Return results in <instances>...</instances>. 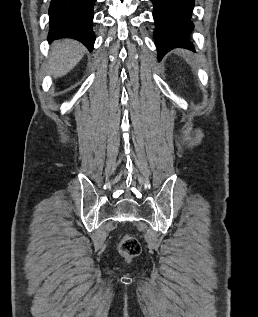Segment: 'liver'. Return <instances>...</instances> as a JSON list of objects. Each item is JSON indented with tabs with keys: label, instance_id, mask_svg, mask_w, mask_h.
<instances>
[{
	"label": "liver",
	"instance_id": "liver-1",
	"mask_svg": "<svg viewBox=\"0 0 258 317\" xmlns=\"http://www.w3.org/2000/svg\"><path fill=\"white\" fill-rule=\"evenodd\" d=\"M85 50V46L78 40H71V38L55 40L50 52L48 72H51L55 78L64 76L81 60Z\"/></svg>",
	"mask_w": 258,
	"mask_h": 317
}]
</instances>
